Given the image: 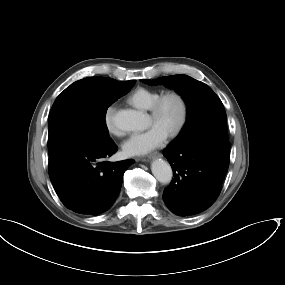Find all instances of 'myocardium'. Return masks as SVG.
I'll use <instances>...</instances> for the list:
<instances>
[{
  "mask_svg": "<svg viewBox=\"0 0 285 285\" xmlns=\"http://www.w3.org/2000/svg\"><path fill=\"white\" fill-rule=\"evenodd\" d=\"M169 98H175L178 100L180 107H181V114L178 123L172 128L168 133L167 136L170 138L178 136L182 130L184 129L189 114L188 102L185 96L176 90H169L161 94L152 104L150 107V115L153 118H158L162 109L163 104Z\"/></svg>",
  "mask_w": 285,
  "mask_h": 285,
  "instance_id": "f54148a6",
  "label": "myocardium"
}]
</instances>
